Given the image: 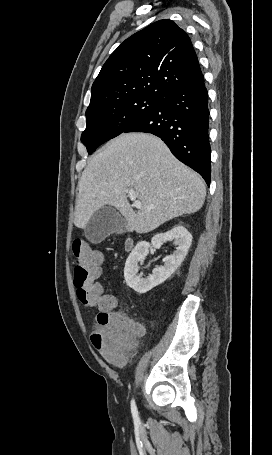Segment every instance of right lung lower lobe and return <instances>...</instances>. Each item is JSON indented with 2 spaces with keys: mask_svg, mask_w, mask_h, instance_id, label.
Returning a JSON list of instances; mask_svg holds the SVG:
<instances>
[{
  "mask_svg": "<svg viewBox=\"0 0 272 455\" xmlns=\"http://www.w3.org/2000/svg\"><path fill=\"white\" fill-rule=\"evenodd\" d=\"M208 93L204 76L166 94L156 110L131 125L127 132L160 137L173 155L210 184Z\"/></svg>",
  "mask_w": 272,
  "mask_h": 455,
  "instance_id": "obj_1",
  "label": "right lung lower lobe"
}]
</instances>
